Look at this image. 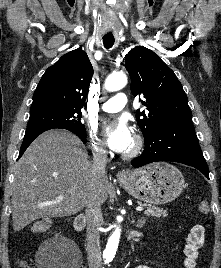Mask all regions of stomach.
<instances>
[{
	"label": "stomach",
	"mask_w": 221,
	"mask_h": 268,
	"mask_svg": "<svg viewBox=\"0 0 221 268\" xmlns=\"http://www.w3.org/2000/svg\"><path fill=\"white\" fill-rule=\"evenodd\" d=\"M120 183L130 195L153 205L173 201L185 187L182 173L165 162L152 163L129 171L120 179Z\"/></svg>",
	"instance_id": "1"
}]
</instances>
